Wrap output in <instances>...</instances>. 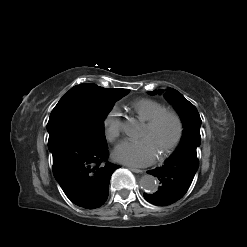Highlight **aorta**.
Returning a JSON list of instances; mask_svg holds the SVG:
<instances>
[{"instance_id":"aorta-1","label":"aorta","mask_w":247,"mask_h":247,"mask_svg":"<svg viewBox=\"0 0 247 247\" xmlns=\"http://www.w3.org/2000/svg\"><path fill=\"white\" fill-rule=\"evenodd\" d=\"M123 132L129 137H136L140 131L139 123L132 119L122 125ZM141 188L147 193H155L158 190V180L153 175H144L140 180Z\"/></svg>"}]
</instances>
